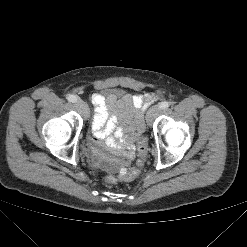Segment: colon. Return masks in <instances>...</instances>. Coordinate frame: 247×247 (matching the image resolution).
<instances>
[{
    "label": "colon",
    "instance_id": "colon-1",
    "mask_svg": "<svg viewBox=\"0 0 247 247\" xmlns=\"http://www.w3.org/2000/svg\"><path fill=\"white\" fill-rule=\"evenodd\" d=\"M138 150H139V154H140V159H139L138 165L136 167H132V168L125 169V170L121 171L118 178H116L114 176L107 177L106 178L107 184L113 185L118 181V179L124 180V181H131L139 175L140 170H141V166L143 164V161H144L146 153H147V142L143 136H139Z\"/></svg>",
    "mask_w": 247,
    "mask_h": 247
}]
</instances>
